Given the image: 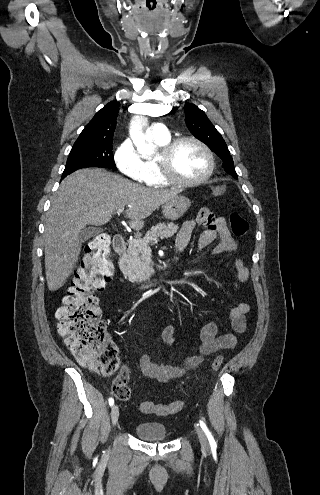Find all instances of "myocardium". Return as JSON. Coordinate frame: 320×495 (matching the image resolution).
<instances>
[{
  "label": "myocardium",
  "instance_id": "myocardium-1",
  "mask_svg": "<svg viewBox=\"0 0 320 495\" xmlns=\"http://www.w3.org/2000/svg\"><path fill=\"white\" fill-rule=\"evenodd\" d=\"M185 142L196 144L206 155L208 160V169L206 173L196 179H184L179 177L173 170L172 158L176 148ZM160 175L169 183L180 186H197L208 181L215 170V158L210 148L200 139L194 136H182L170 140L160 148V151L155 158Z\"/></svg>",
  "mask_w": 320,
  "mask_h": 495
}]
</instances>
